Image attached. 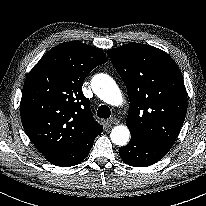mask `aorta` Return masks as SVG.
Instances as JSON below:
<instances>
[{"instance_id":"762f6f07","label":"aorta","mask_w":206,"mask_h":206,"mask_svg":"<svg viewBox=\"0 0 206 206\" xmlns=\"http://www.w3.org/2000/svg\"><path fill=\"white\" fill-rule=\"evenodd\" d=\"M92 89L94 93L107 104L118 106L122 103V94L116 82L107 74H97L92 79ZM111 141L124 146L129 141L130 132L127 126L119 125L112 129Z\"/></svg>"}]
</instances>
